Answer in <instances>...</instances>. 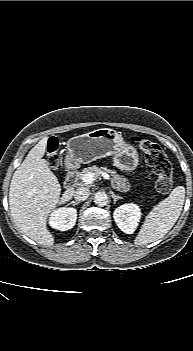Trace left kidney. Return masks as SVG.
Returning <instances> with one entry per match:
<instances>
[{"label":"left kidney","mask_w":193,"mask_h":351,"mask_svg":"<svg viewBox=\"0 0 193 351\" xmlns=\"http://www.w3.org/2000/svg\"><path fill=\"white\" fill-rule=\"evenodd\" d=\"M141 209L137 204H123L117 207L113 213L114 221L121 231L132 234L136 230L140 219Z\"/></svg>","instance_id":"5707ae66"}]
</instances>
